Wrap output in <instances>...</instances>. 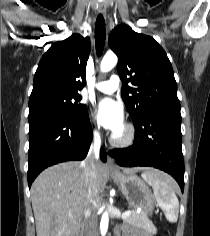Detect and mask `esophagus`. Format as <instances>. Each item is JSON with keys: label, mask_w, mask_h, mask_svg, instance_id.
Listing matches in <instances>:
<instances>
[{"label": "esophagus", "mask_w": 210, "mask_h": 236, "mask_svg": "<svg viewBox=\"0 0 210 236\" xmlns=\"http://www.w3.org/2000/svg\"><path fill=\"white\" fill-rule=\"evenodd\" d=\"M98 11H99V13H101L103 15L105 14L106 8H105L104 4H100L99 5ZM107 168L109 170H113V171L117 170L115 161H114V159L110 155H108V158H107Z\"/></svg>", "instance_id": "esophagus-1"}]
</instances>
